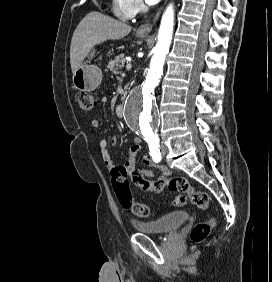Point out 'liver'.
<instances>
[{"instance_id": "liver-1", "label": "liver", "mask_w": 272, "mask_h": 282, "mask_svg": "<svg viewBox=\"0 0 272 282\" xmlns=\"http://www.w3.org/2000/svg\"><path fill=\"white\" fill-rule=\"evenodd\" d=\"M131 26L99 12H90L76 27L70 46V63L74 72L95 45L109 39H122L131 32Z\"/></svg>"}]
</instances>
